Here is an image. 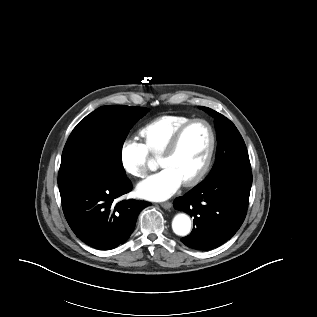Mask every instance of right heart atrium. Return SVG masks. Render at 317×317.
<instances>
[{
    "instance_id": "obj_1",
    "label": "right heart atrium",
    "mask_w": 317,
    "mask_h": 317,
    "mask_svg": "<svg viewBox=\"0 0 317 317\" xmlns=\"http://www.w3.org/2000/svg\"><path fill=\"white\" fill-rule=\"evenodd\" d=\"M120 162L125 172L142 178L148 172L149 152L136 138L126 139L120 147Z\"/></svg>"
}]
</instances>
